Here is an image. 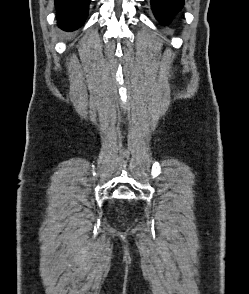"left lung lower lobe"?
Returning <instances> with one entry per match:
<instances>
[{
    "label": "left lung lower lobe",
    "instance_id": "1",
    "mask_svg": "<svg viewBox=\"0 0 249 294\" xmlns=\"http://www.w3.org/2000/svg\"><path fill=\"white\" fill-rule=\"evenodd\" d=\"M156 18L167 23L184 5V0H151Z\"/></svg>",
    "mask_w": 249,
    "mask_h": 294
}]
</instances>
